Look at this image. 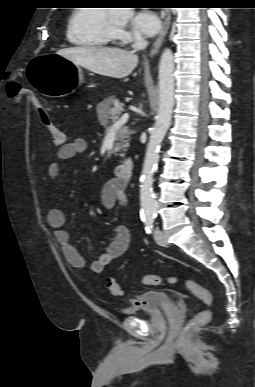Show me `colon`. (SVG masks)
I'll return each instance as SVG.
<instances>
[{"instance_id": "obj_1", "label": "colon", "mask_w": 255, "mask_h": 387, "mask_svg": "<svg viewBox=\"0 0 255 387\" xmlns=\"http://www.w3.org/2000/svg\"><path fill=\"white\" fill-rule=\"evenodd\" d=\"M24 91L22 85L15 80L7 83V95L11 101H17ZM36 110L39 114L42 124L48 130L51 135L52 142L59 148L67 143L65 134L57 127L53 122L49 111L43 107L38 100L34 103ZM167 282L169 284L182 283L184 287L199 298L207 307L206 310L199 312L195 317L190 319L183 328V333H189L195 329L207 324L212 316L210 307L213 303V298L210 292L191 279H180L176 276L163 277L161 275L148 274L143 276L142 283L148 286H158ZM107 289L112 296L119 297L122 295V289L120 284L114 280L109 279L107 281Z\"/></svg>"}]
</instances>
